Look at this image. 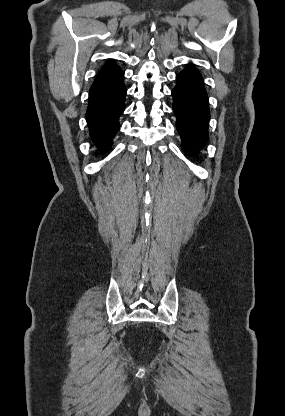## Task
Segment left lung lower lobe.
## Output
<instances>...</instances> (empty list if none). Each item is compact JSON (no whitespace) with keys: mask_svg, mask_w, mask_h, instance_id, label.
Instances as JSON below:
<instances>
[{"mask_svg":"<svg viewBox=\"0 0 285 416\" xmlns=\"http://www.w3.org/2000/svg\"><path fill=\"white\" fill-rule=\"evenodd\" d=\"M176 81L177 85L172 90L176 127L184 151L192 154L208 141V96L202 76L193 65L178 73Z\"/></svg>","mask_w":285,"mask_h":416,"instance_id":"1","label":"left lung lower lobe"}]
</instances>
